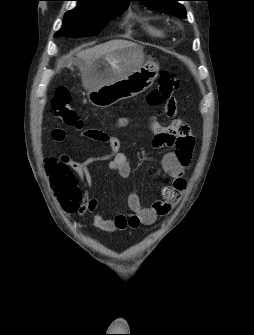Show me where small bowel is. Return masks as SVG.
I'll return each instance as SVG.
<instances>
[{
  "mask_svg": "<svg viewBox=\"0 0 254 335\" xmlns=\"http://www.w3.org/2000/svg\"><path fill=\"white\" fill-rule=\"evenodd\" d=\"M176 94H169L165 108H158L157 113L153 114V119L161 120L171 119V115L176 114ZM127 124L126 118H119L116 126L124 127ZM148 129L155 135L154 145L169 146L171 150L167 152L162 159V169L170 178L171 184L162 189V198L155 201L151 206H144L139 196L132 192L128 195L127 204L131 211L129 214H119L112 219L105 218L102 214L96 213L94 216V225L108 232L124 230L127 228L137 229L142 225H152L162 216L167 215L174 207L186 188L185 171L189 167L194 149V140L190 127L180 120H169V126H162L156 122H151ZM83 139L91 141H105L110 147V153L106 155L93 156L83 162H77L70 159L67 155H62L59 166H52L46 171L50 177L51 171L59 170L60 180L66 181L70 192L77 188L78 179L84 186H89L91 182L89 166L95 162L108 161L110 171L118 174L121 178H128L131 174V167L126 155L121 151V144L114 135L104 134L101 136L97 130H84L81 133ZM52 138L55 141L62 142L65 134L61 129L52 131ZM171 139L168 143L167 139ZM64 191L62 187H54V191ZM69 191L62 197L64 210L69 213H78L80 215L95 213L98 202L95 199L82 198L77 201Z\"/></svg>",
  "mask_w": 254,
  "mask_h": 335,
  "instance_id": "obj_1",
  "label": "small bowel"
}]
</instances>
